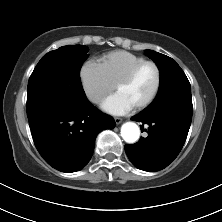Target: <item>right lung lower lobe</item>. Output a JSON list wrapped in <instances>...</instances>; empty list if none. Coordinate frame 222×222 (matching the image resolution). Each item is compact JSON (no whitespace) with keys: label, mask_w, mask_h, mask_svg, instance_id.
I'll use <instances>...</instances> for the list:
<instances>
[{"label":"right lung lower lobe","mask_w":222,"mask_h":222,"mask_svg":"<svg viewBox=\"0 0 222 222\" xmlns=\"http://www.w3.org/2000/svg\"><path fill=\"white\" fill-rule=\"evenodd\" d=\"M35 146L43 159L62 172H75L90 161L97 134L115 121L88 100L74 107L39 106L27 110Z\"/></svg>","instance_id":"98d812e1"}]
</instances>
